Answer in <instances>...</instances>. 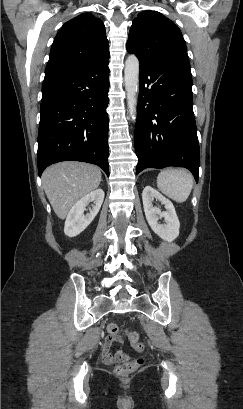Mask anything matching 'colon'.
Here are the masks:
<instances>
[{
  "mask_svg": "<svg viewBox=\"0 0 243 409\" xmlns=\"http://www.w3.org/2000/svg\"><path fill=\"white\" fill-rule=\"evenodd\" d=\"M108 331L112 334H117L119 332V327L116 324H109ZM125 336L130 341L131 346L136 349L137 351L143 350V345L139 340V336L137 333L134 332H125ZM142 359H133V360H125L120 365H118L115 369L116 373L119 376H127L132 373L137 367L141 364Z\"/></svg>",
  "mask_w": 243,
  "mask_h": 409,
  "instance_id": "obj_1",
  "label": "colon"
}]
</instances>
